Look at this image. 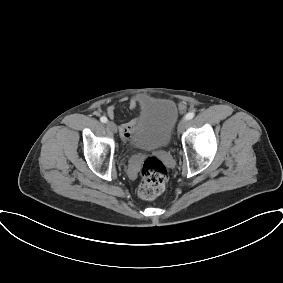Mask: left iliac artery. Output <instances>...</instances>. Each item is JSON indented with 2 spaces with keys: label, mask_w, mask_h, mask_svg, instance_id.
Listing matches in <instances>:
<instances>
[{
  "label": "left iliac artery",
  "mask_w": 283,
  "mask_h": 283,
  "mask_svg": "<svg viewBox=\"0 0 283 283\" xmlns=\"http://www.w3.org/2000/svg\"><path fill=\"white\" fill-rule=\"evenodd\" d=\"M195 116L194 112H189L186 114L185 119L191 120Z\"/></svg>",
  "instance_id": "44dca946"
}]
</instances>
